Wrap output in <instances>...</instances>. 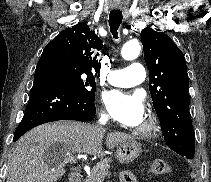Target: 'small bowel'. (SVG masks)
<instances>
[{
	"label": "small bowel",
	"mask_w": 211,
	"mask_h": 182,
	"mask_svg": "<svg viewBox=\"0 0 211 182\" xmlns=\"http://www.w3.org/2000/svg\"><path fill=\"white\" fill-rule=\"evenodd\" d=\"M120 182H137V180L131 172L123 171L120 174Z\"/></svg>",
	"instance_id": "1"
}]
</instances>
